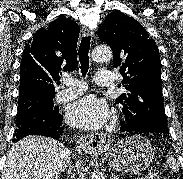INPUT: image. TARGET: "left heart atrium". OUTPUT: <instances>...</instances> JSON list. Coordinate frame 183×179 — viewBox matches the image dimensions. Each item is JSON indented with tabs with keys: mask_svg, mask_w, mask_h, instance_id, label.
<instances>
[{
	"mask_svg": "<svg viewBox=\"0 0 183 179\" xmlns=\"http://www.w3.org/2000/svg\"><path fill=\"white\" fill-rule=\"evenodd\" d=\"M109 119L107 104L93 95H87L71 104L67 111L68 122L78 128L96 130Z\"/></svg>",
	"mask_w": 183,
	"mask_h": 179,
	"instance_id": "obj_1",
	"label": "left heart atrium"
}]
</instances>
